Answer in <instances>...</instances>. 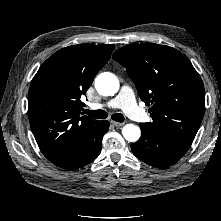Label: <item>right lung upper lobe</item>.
Wrapping results in <instances>:
<instances>
[{
	"instance_id": "cb5924a9",
	"label": "right lung upper lobe",
	"mask_w": 221,
	"mask_h": 221,
	"mask_svg": "<svg viewBox=\"0 0 221 221\" xmlns=\"http://www.w3.org/2000/svg\"><path fill=\"white\" fill-rule=\"evenodd\" d=\"M114 45L79 44L60 49L32 79L28 115L36 142L51 162L76 160L98 122L81 113L80 98L107 63Z\"/></svg>"
}]
</instances>
